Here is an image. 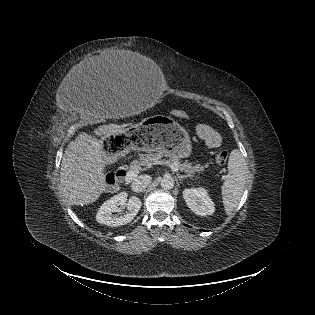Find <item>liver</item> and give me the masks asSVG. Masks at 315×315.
Masks as SVG:
<instances>
[{
  "instance_id": "liver-1",
  "label": "liver",
  "mask_w": 315,
  "mask_h": 315,
  "mask_svg": "<svg viewBox=\"0 0 315 315\" xmlns=\"http://www.w3.org/2000/svg\"><path fill=\"white\" fill-rule=\"evenodd\" d=\"M95 64L116 70L118 59L110 60L102 55L86 63L87 66ZM125 132V125L105 124L94 130L101 139L80 132L74 141L69 142L61 162L60 184L70 205L92 204L106 191L104 169L113 163L115 157L104 151L103 140Z\"/></svg>"
}]
</instances>
